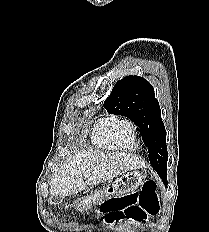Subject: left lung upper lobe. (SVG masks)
<instances>
[{
  "label": "left lung upper lobe",
  "mask_w": 209,
  "mask_h": 232,
  "mask_svg": "<svg viewBox=\"0 0 209 232\" xmlns=\"http://www.w3.org/2000/svg\"><path fill=\"white\" fill-rule=\"evenodd\" d=\"M104 107L108 113L125 116L138 125L148 147L150 163L165 181L168 160L166 130L153 86L143 77L127 76L115 84Z\"/></svg>",
  "instance_id": "5c2ea615"
}]
</instances>
